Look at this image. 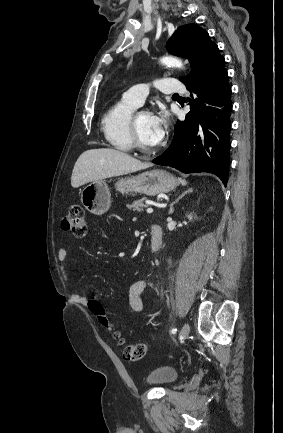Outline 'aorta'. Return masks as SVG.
Segmentation results:
<instances>
[{
    "instance_id": "1",
    "label": "aorta",
    "mask_w": 283,
    "mask_h": 433,
    "mask_svg": "<svg viewBox=\"0 0 283 433\" xmlns=\"http://www.w3.org/2000/svg\"><path fill=\"white\" fill-rule=\"evenodd\" d=\"M160 61L162 64L167 65L169 67L183 68L182 61L176 57H173V56L163 57Z\"/></svg>"
}]
</instances>
